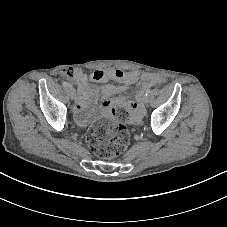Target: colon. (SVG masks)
<instances>
[{"label":"colon","mask_w":227,"mask_h":227,"mask_svg":"<svg viewBox=\"0 0 227 227\" xmlns=\"http://www.w3.org/2000/svg\"><path fill=\"white\" fill-rule=\"evenodd\" d=\"M73 69H67L66 75L72 77ZM129 132L125 125L112 119L93 124L87 131L86 140L100 158L111 159L119 155L129 144Z\"/></svg>","instance_id":"5ec220e1"}]
</instances>
